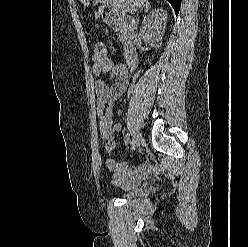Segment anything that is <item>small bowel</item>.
Here are the masks:
<instances>
[{
    "label": "small bowel",
    "mask_w": 248,
    "mask_h": 247,
    "mask_svg": "<svg viewBox=\"0 0 248 247\" xmlns=\"http://www.w3.org/2000/svg\"><path fill=\"white\" fill-rule=\"evenodd\" d=\"M93 61L99 133L106 155V166L111 173L113 183L123 187H132L150 175V168L144 164L134 167L128 166L125 162L118 163L114 155L115 136L120 131L121 125L113 121L112 106L124 94L128 86V70L125 65L117 64L107 56L101 60L94 56ZM106 72L109 73V81L102 77V74Z\"/></svg>",
    "instance_id": "obj_1"
}]
</instances>
